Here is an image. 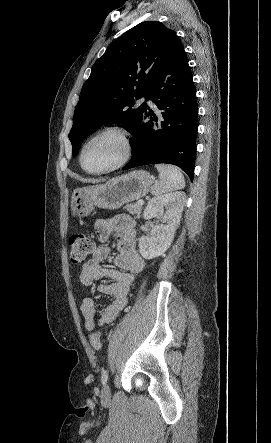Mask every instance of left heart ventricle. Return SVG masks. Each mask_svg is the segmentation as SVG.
I'll use <instances>...</instances> for the list:
<instances>
[{
	"instance_id": "1",
	"label": "left heart ventricle",
	"mask_w": 271,
	"mask_h": 443,
	"mask_svg": "<svg viewBox=\"0 0 271 443\" xmlns=\"http://www.w3.org/2000/svg\"><path fill=\"white\" fill-rule=\"evenodd\" d=\"M124 152L121 137L114 132L93 139L85 148L83 162L89 170H102L114 165Z\"/></svg>"
}]
</instances>
